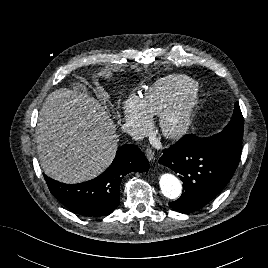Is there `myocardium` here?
<instances>
[{"label": "myocardium", "instance_id": "1", "mask_svg": "<svg viewBox=\"0 0 268 268\" xmlns=\"http://www.w3.org/2000/svg\"><path fill=\"white\" fill-rule=\"evenodd\" d=\"M200 95L192 87L175 97L159 114L160 132L169 139H178L185 135L193 124Z\"/></svg>", "mask_w": 268, "mask_h": 268}]
</instances>
